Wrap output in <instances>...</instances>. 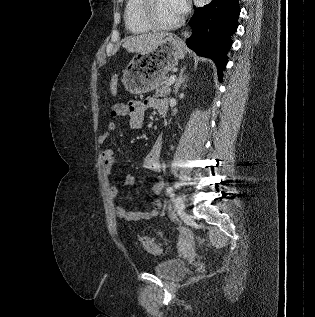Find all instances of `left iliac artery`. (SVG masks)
<instances>
[{"label":"left iliac artery","instance_id":"1","mask_svg":"<svg viewBox=\"0 0 315 317\" xmlns=\"http://www.w3.org/2000/svg\"><path fill=\"white\" fill-rule=\"evenodd\" d=\"M166 192L170 195V197H174V192H173V188L172 187H168L166 189Z\"/></svg>","mask_w":315,"mask_h":317}]
</instances>
